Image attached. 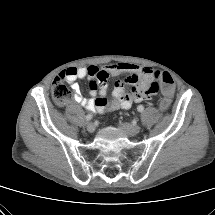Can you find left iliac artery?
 I'll use <instances>...</instances> for the list:
<instances>
[{"instance_id":"left-iliac-artery-1","label":"left iliac artery","mask_w":215,"mask_h":215,"mask_svg":"<svg viewBox=\"0 0 215 215\" xmlns=\"http://www.w3.org/2000/svg\"><path fill=\"white\" fill-rule=\"evenodd\" d=\"M137 110H138L139 112H143V111H144L143 105H139V106L137 107Z\"/></svg>"}]
</instances>
